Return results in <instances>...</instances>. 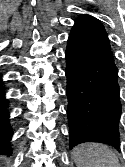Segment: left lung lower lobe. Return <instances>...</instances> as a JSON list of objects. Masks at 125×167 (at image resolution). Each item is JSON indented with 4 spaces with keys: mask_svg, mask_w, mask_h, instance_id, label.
<instances>
[{
    "mask_svg": "<svg viewBox=\"0 0 125 167\" xmlns=\"http://www.w3.org/2000/svg\"><path fill=\"white\" fill-rule=\"evenodd\" d=\"M65 57L70 149L84 142L119 147L118 68L98 19L81 15L75 21Z\"/></svg>",
    "mask_w": 125,
    "mask_h": 167,
    "instance_id": "obj_1",
    "label": "left lung lower lobe"
}]
</instances>
